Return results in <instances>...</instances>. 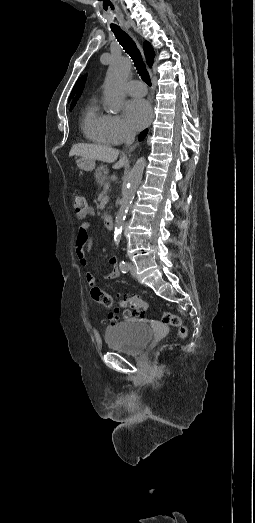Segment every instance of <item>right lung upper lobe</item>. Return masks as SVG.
Wrapping results in <instances>:
<instances>
[{"label":"right lung upper lobe","instance_id":"right-lung-upper-lobe-1","mask_svg":"<svg viewBox=\"0 0 255 523\" xmlns=\"http://www.w3.org/2000/svg\"><path fill=\"white\" fill-rule=\"evenodd\" d=\"M143 49H144V53H145V56H146V59H147V63L149 66L152 65V62H153V59H154V51H153V48L151 46V44L147 41L144 42V45H143ZM80 81H81V78L76 82L72 92H71V95H70V98H72L75 94V92L77 91V88L80 84ZM147 134V130H144L143 132H141V137L144 138Z\"/></svg>","mask_w":255,"mask_h":523}]
</instances>
